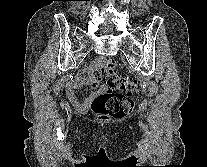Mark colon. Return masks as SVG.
<instances>
[{
  "label": "colon",
  "instance_id": "colon-1",
  "mask_svg": "<svg viewBox=\"0 0 207 167\" xmlns=\"http://www.w3.org/2000/svg\"><path fill=\"white\" fill-rule=\"evenodd\" d=\"M115 68L113 60L93 67L94 76L105 86L92 102L94 114L101 119H120L127 116L133 107L131 95L141 91L137 81L118 76Z\"/></svg>",
  "mask_w": 207,
  "mask_h": 167
}]
</instances>
